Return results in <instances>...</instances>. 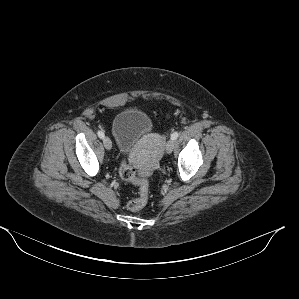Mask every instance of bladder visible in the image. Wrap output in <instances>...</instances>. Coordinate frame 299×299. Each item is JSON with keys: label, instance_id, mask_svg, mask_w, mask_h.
Segmentation results:
<instances>
[{"label": "bladder", "instance_id": "obj_1", "mask_svg": "<svg viewBox=\"0 0 299 299\" xmlns=\"http://www.w3.org/2000/svg\"><path fill=\"white\" fill-rule=\"evenodd\" d=\"M151 130L150 117L138 109H126L117 114L112 122V132L119 154L125 156Z\"/></svg>", "mask_w": 299, "mask_h": 299}]
</instances>
